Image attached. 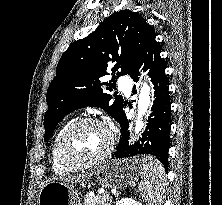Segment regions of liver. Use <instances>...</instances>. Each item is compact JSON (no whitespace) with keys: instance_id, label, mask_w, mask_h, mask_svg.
Segmentation results:
<instances>
[{"instance_id":"obj_1","label":"liver","mask_w":222,"mask_h":205,"mask_svg":"<svg viewBox=\"0 0 222 205\" xmlns=\"http://www.w3.org/2000/svg\"><path fill=\"white\" fill-rule=\"evenodd\" d=\"M92 176V173L90 174H85V175H82V176H75V177H66V178H61L60 180L62 182H71V183H80V182H85L87 181L88 179H90V177Z\"/></svg>"}]
</instances>
